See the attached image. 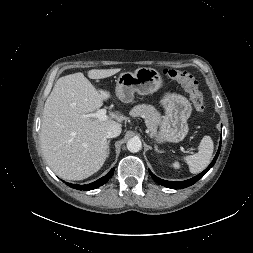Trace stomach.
<instances>
[{
  "mask_svg": "<svg viewBox=\"0 0 253 253\" xmlns=\"http://www.w3.org/2000/svg\"><path fill=\"white\" fill-rule=\"evenodd\" d=\"M163 86L160 73L150 67H140L135 72L120 74L116 84V95L125 103L134 100V94L148 95L157 92ZM165 111L159 132L156 136L159 142H180L188 133L187 121L192 113V104L183 95L166 92L160 100Z\"/></svg>",
  "mask_w": 253,
  "mask_h": 253,
  "instance_id": "1",
  "label": "stomach"
}]
</instances>
